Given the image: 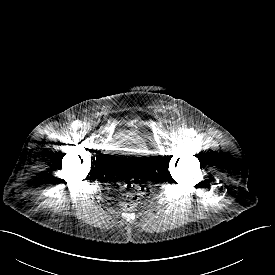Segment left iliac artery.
Here are the masks:
<instances>
[{
	"label": "left iliac artery",
	"mask_w": 275,
	"mask_h": 275,
	"mask_svg": "<svg viewBox=\"0 0 275 275\" xmlns=\"http://www.w3.org/2000/svg\"><path fill=\"white\" fill-rule=\"evenodd\" d=\"M188 134L191 135V136H193V135H195L196 133H195L194 130L190 129V130H188Z\"/></svg>",
	"instance_id": "obj_1"
}]
</instances>
